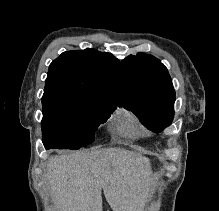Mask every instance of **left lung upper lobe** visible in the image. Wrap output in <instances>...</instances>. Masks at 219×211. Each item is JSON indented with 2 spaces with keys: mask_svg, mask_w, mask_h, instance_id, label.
I'll list each match as a JSON object with an SVG mask.
<instances>
[{
  "mask_svg": "<svg viewBox=\"0 0 219 211\" xmlns=\"http://www.w3.org/2000/svg\"><path fill=\"white\" fill-rule=\"evenodd\" d=\"M123 106L143 125L160 132L174 116L175 91L166 67L152 55L138 53L121 62Z\"/></svg>",
  "mask_w": 219,
  "mask_h": 211,
  "instance_id": "left-lung-upper-lobe-1",
  "label": "left lung upper lobe"
}]
</instances>
